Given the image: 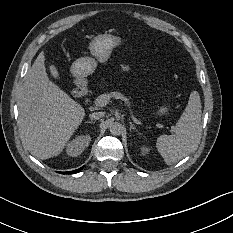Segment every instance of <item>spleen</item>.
Listing matches in <instances>:
<instances>
[{
    "mask_svg": "<svg viewBox=\"0 0 233 233\" xmlns=\"http://www.w3.org/2000/svg\"><path fill=\"white\" fill-rule=\"evenodd\" d=\"M201 100L199 93L190 94L188 105L175 127L174 135H161L156 147L167 165L177 163L189 154L199 141L201 134Z\"/></svg>",
    "mask_w": 233,
    "mask_h": 233,
    "instance_id": "obj_1",
    "label": "spleen"
}]
</instances>
